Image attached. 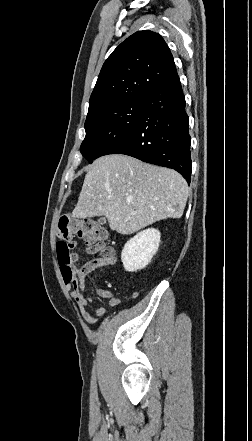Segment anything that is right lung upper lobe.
Segmentation results:
<instances>
[{
	"label": "right lung upper lobe",
	"instance_id": "right-lung-upper-lobe-1",
	"mask_svg": "<svg viewBox=\"0 0 252 441\" xmlns=\"http://www.w3.org/2000/svg\"><path fill=\"white\" fill-rule=\"evenodd\" d=\"M177 73L164 39L138 31L107 58L91 94L87 117L114 105L139 99Z\"/></svg>",
	"mask_w": 252,
	"mask_h": 441
}]
</instances>
